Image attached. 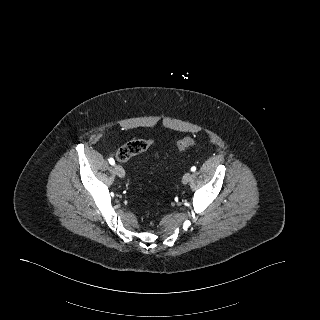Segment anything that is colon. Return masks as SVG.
I'll return each mask as SVG.
<instances>
[{
	"label": "colon",
	"instance_id": "5ec220e1",
	"mask_svg": "<svg viewBox=\"0 0 320 320\" xmlns=\"http://www.w3.org/2000/svg\"><path fill=\"white\" fill-rule=\"evenodd\" d=\"M196 141L192 137H184L177 142V149L179 152L187 150L189 147L195 145ZM150 144L147 140H132L122 147L116 153V159L120 162L127 161L130 157L146 151Z\"/></svg>",
	"mask_w": 320,
	"mask_h": 320
}]
</instances>
